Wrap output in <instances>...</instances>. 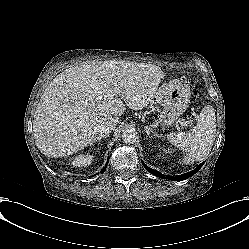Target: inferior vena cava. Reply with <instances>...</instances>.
Here are the masks:
<instances>
[{"mask_svg":"<svg viewBox=\"0 0 249 249\" xmlns=\"http://www.w3.org/2000/svg\"><path fill=\"white\" fill-rule=\"evenodd\" d=\"M118 123V119H110L102 122L100 127V134H108L110 133Z\"/></svg>","mask_w":249,"mask_h":249,"instance_id":"inferior-vena-cava-1","label":"inferior vena cava"}]
</instances>
